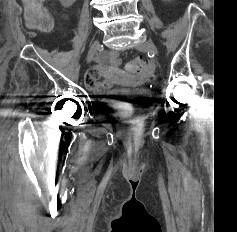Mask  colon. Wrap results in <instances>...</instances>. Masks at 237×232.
Wrapping results in <instances>:
<instances>
[{"label": "colon", "mask_w": 237, "mask_h": 232, "mask_svg": "<svg viewBox=\"0 0 237 232\" xmlns=\"http://www.w3.org/2000/svg\"><path fill=\"white\" fill-rule=\"evenodd\" d=\"M168 1V0H165ZM25 8V21L28 28L39 31H48L53 26V19L49 11L44 7V0H23ZM126 69L132 75L143 78L146 81L153 79V71L147 61L142 57H136L126 65Z\"/></svg>", "instance_id": "obj_1"}]
</instances>
